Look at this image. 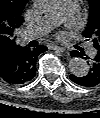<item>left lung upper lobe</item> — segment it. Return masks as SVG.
<instances>
[{
  "label": "left lung upper lobe",
  "mask_w": 100,
  "mask_h": 118,
  "mask_svg": "<svg viewBox=\"0 0 100 118\" xmlns=\"http://www.w3.org/2000/svg\"><path fill=\"white\" fill-rule=\"evenodd\" d=\"M86 41L92 40L93 46L100 51V0H90V18L87 28L83 31Z\"/></svg>",
  "instance_id": "obj_1"
}]
</instances>
